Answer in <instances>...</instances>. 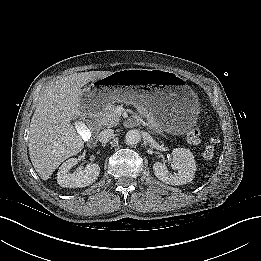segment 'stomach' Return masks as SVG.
I'll list each match as a JSON object with an SVG mask.
<instances>
[{"mask_svg": "<svg viewBox=\"0 0 261 261\" xmlns=\"http://www.w3.org/2000/svg\"><path fill=\"white\" fill-rule=\"evenodd\" d=\"M100 84H91L81 97L84 109L104 110L111 102H133L152 111L156 124L173 134L190 130L199 103L192 89L175 73L158 69H127L113 72Z\"/></svg>", "mask_w": 261, "mask_h": 261, "instance_id": "stomach-1", "label": "stomach"}]
</instances>
